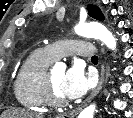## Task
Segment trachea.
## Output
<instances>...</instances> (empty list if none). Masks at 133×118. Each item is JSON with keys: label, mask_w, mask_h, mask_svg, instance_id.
Returning <instances> with one entry per match:
<instances>
[{"label": "trachea", "mask_w": 133, "mask_h": 118, "mask_svg": "<svg viewBox=\"0 0 133 118\" xmlns=\"http://www.w3.org/2000/svg\"><path fill=\"white\" fill-rule=\"evenodd\" d=\"M91 60H92V61H98V57H97V56H93V57L91 58Z\"/></svg>", "instance_id": "1"}]
</instances>
